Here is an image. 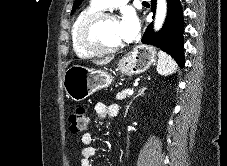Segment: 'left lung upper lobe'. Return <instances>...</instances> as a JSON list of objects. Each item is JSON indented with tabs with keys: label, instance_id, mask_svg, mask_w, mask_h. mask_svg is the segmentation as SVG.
<instances>
[{
	"label": "left lung upper lobe",
	"instance_id": "obj_1",
	"mask_svg": "<svg viewBox=\"0 0 227 166\" xmlns=\"http://www.w3.org/2000/svg\"><path fill=\"white\" fill-rule=\"evenodd\" d=\"M83 0H75L74 1V5H73V9L71 14H73L75 12V10L78 8V6L82 3Z\"/></svg>",
	"mask_w": 227,
	"mask_h": 166
}]
</instances>
